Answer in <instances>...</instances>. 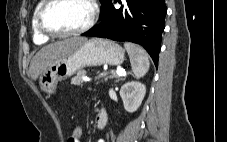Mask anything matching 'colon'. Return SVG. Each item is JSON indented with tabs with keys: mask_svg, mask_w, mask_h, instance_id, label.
Listing matches in <instances>:
<instances>
[{
	"mask_svg": "<svg viewBox=\"0 0 227 142\" xmlns=\"http://www.w3.org/2000/svg\"><path fill=\"white\" fill-rule=\"evenodd\" d=\"M82 135H83L82 126L80 124H76L73 127V130L69 137L72 139L73 142H81Z\"/></svg>",
	"mask_w": 227,
	"mask_h": 142,
	"instance_id": "colon-1",
	"label": "colon"
}]
</instances>
